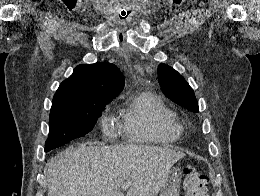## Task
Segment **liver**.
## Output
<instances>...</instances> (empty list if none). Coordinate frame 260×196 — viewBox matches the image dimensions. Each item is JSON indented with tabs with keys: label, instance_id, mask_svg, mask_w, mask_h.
Wrapping results in <instances>:
<instances>
[{
	"label": "liver",
	"instance_id": "obj_1",
	"mask_svg": "<svg viewBox=\"0 0 260 196\" xmlns=\"http://www.w3.org/2000/svg\"><path fill=\"white\" fill-rule=\"evenodd\" d=\"M185 154L159 146L79 144L51 158L48 196H158L172 166Z\"/></svg>",
	"mask_w": 260,
	"mask_h": 196
}]
</instances>
